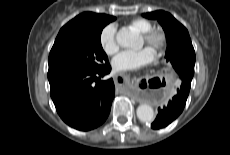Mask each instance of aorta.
<instances>
[{
    "label": "aorta",
    "mask_w": 230,
    "mask_h": 155,
    "mask_svg": "<svg viewBox=\"0 0 230 155\" xmlns=\"http://www.w3.org/2000/svg\"><path fill=\"white\" fill-rule=\"evenodd\" d=\"M138 40V35L128 29H121L116 35V41L122 47H133ZM137 117L141 122L151 123L155 114L153 108L148 104H141L136 110Z\"/></svg>",
    "instance_id": "obj_1"
}]
</instances>
